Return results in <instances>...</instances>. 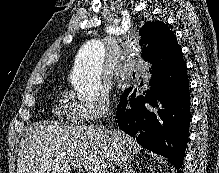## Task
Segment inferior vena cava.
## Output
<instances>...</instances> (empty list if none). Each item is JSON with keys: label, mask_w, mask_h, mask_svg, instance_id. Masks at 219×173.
I'll return each instance as SVG.
<instances>
[{"label": "inferior vena cava", "mask_w": 219, "mask_h": 173, "mask_svg": "<svg viewBox=\"0 0 219 173\" xmlns=\"http://www.w3.org/2000/svg\"><path fill=\"white\" fill-rule=\"evenodd\" d=\"M105 133L107 135V137L110 136L111 131L109 129H105ZM115 172V167H112V169H110L109 173H114Z\"/></svg>", "instance_id": "1"}]
</instances>
